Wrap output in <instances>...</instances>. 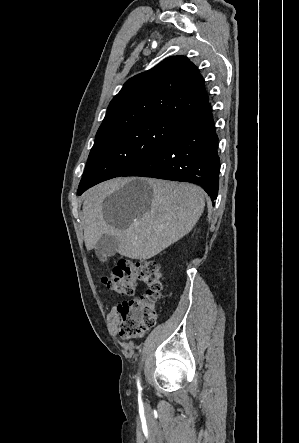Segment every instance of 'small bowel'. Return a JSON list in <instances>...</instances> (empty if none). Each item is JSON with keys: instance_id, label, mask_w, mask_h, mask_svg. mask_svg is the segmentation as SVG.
Wrapping results in <instances>:
<instances>
[{"instance_id": "1", "label": "small bowel", "mask_w": 299, "mask_h": 443, "mask_svg": "<svg viewBox=\"0 0 299 443\" xmlns=\"http://www.w3.org/2000/svg\"><path fill=\"white\" fill-rule=\"evenodd\" d=\"M107 318H108L109 327L111 328V330L117 331L119 328V323H120V317H119L117 309L112 308L109 311Z\"/></svg>"}]
</instances>
